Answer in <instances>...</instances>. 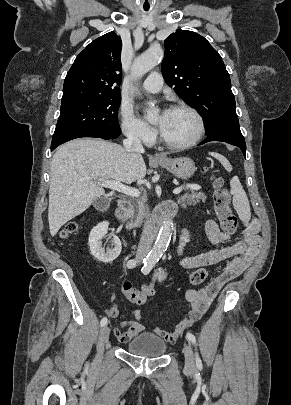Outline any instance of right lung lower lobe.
<instances>
[{
  "label": "right lung lower lobe",
  "instance_id": "1",
  "mask_svg": "<svg viewBox=\"0 0 291 405\" xmlns=\"http://www.w3.org/2000/svg\"><path fill=\"white\" fill-rule=\"evenodd\" d=\"M119 136H120V134H119V135L92 134V135H84V136H80V137H97V138H102V139L109 140V139H115V138H117V137H119ZM80 137H76V138H80ZM73 139H75V138H73ZM70 140H72V139H70ZM67 141H69V140H66V141H64V142L57 143V144H55V145H51V150H54L57 146H59V145L65 143V142H67Z\"/></svg>",
  "mask_w": 291,
  "mask_h": 405
}]
</instances>
